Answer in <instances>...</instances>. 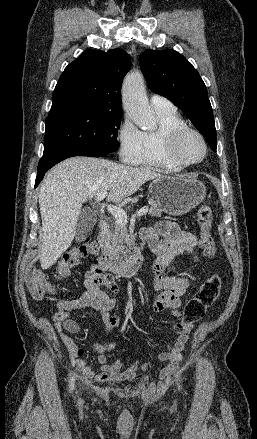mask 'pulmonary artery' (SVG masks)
<instances>
[{
  "label": "pulmonary artery",
  "mask_w": 257,
  "mask_h": 439,
  "mask_svg": "<svg viewBox=\"0 0 257 439\" xmlns=\"http://www.w3.org/2000/svg\"><path fill=\"white\" fill-rule=\"evenodd\" d=\"M151 105L155 111H173L175 106L172 102L160 95H152Z\"/></svg>",
  "instance_id": "obj_1"
}]
</instances>
